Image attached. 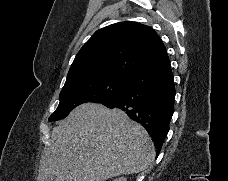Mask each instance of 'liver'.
<instances>
[{"label":"liver","instance_id":"liver-1","mask_svg":"<svg viewBox=\"0 0 228 181\" xmlns=\"http://www.w3.org/2000/svg\"><path fill=\"white\" fill-rule=\"evenodd\" d=\"M154 155L147 131L124 111L84 103L54 127L38 179L107 181L148 169Z\"/></svg>","mask_w":228,"mask_h":181}]
</instances>
